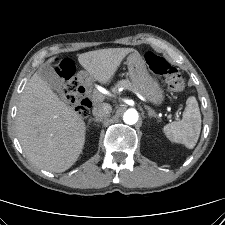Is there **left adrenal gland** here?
<instances>
[{
    "mask_svg": "<svg viewBox=\"0 0 225 225\" xmlns=\"http://www.w3.org/2000/svg\"><path fill=\"white\" fill-rule=\"evenodd\" d=\"M145 109L148 110V115H149V117L159 118V117L157 116V114H156L150 107L145 106Z\"/></svg>",
    "mask_w": 225,
    "mask_h": 225,
    "instance_id": "left-adrenal-gland-1",
    "label": "left adrenal gland"
}]
</instances>
